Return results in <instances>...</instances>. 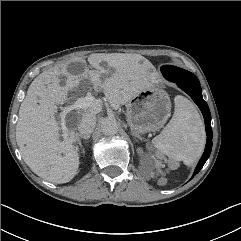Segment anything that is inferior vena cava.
<instances>
[{
  "label": "inferior vena cava",
  "mask_w": 241,
  "mask_h": 241,
  "mask_svg": "<svg viewBox=\"0 0 241 241\" xmlns=\"http://www.w3.org/2000/svg\"><path fill=\"white\" fill-rule=\"evenodd\" d=\"M96 126V116L93 113H83L79 124H78V131L80 134L89 135L93 132Z\"/></svg>",
  "instance_id": "602c4592"
}]
</instances>
